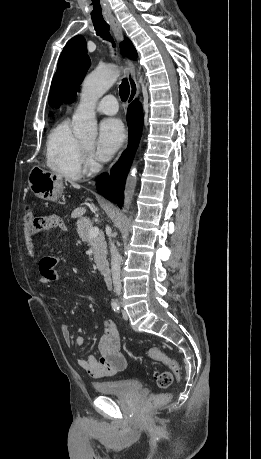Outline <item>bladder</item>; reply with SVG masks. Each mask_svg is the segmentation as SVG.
I'll return each instance as SVG.
<instances>
[{
	"label": "bladder",
	"instance_id": "bladder-1",
	"mask_svg": "<svg viewBox=\"0 0 261 459\" xmlns=\"http://www.w3.org/2000/svg\"><path fill=\"white\" fill-rule=\"evenodd\" d=\"M94 391L98 394L107 395H130L142 389V383L137 379H119L92 384Z\"/></svg>",
	"mask_w": 261,
	"mask_h": 459
}]
</instances>
